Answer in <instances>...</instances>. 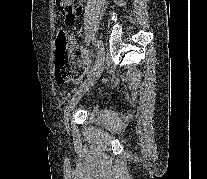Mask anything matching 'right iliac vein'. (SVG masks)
Returning <instances> with one entry per match:
<instances>
[{"instance_id":"obj_1","label":"right iliac vein","mask_w":207,"mask_h":179,"mask_svg":"<svg viewBox=\"0 0 207 179\" xmlns=\"http://www.w3.org/2000/svg\"><path fill=\"white\" fill-rule=\"evenodd\" d=\"M101 44V42H100ZM104 48L101 45L99 49V60L96 65V69L93 70L91 75L88 77V80L85 84H83L80 89L75 93V95L71 98L68 105L64 111V123L67 125L69 122L70 114L73 111L74 107L77 105L81 97L96 83V81L101 76L104 67Z\"/></svg>"}]
</instances>
